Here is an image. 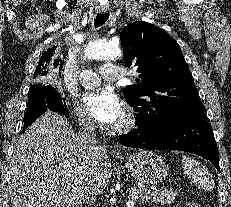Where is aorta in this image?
Returning a JSON list of instances; mask_svg holds the SVG:
<instances>
[{
    "instance_id": "aorta-1",
    "label": "aorta",
    "mask_w": 231,
    "mask_h": 207,
    "mask_svg": "<svg viewBox=\"0 0 231 207\" xmlns=\"http://www.w3.org/2000/svg\"><path fill=\"white\" fill-rule=\"evenodd\" d=\"M84 52L85 57L90 60H113L122 55L119 45L102 40L90 42Z\"/></svg>"
}]
</instances>
